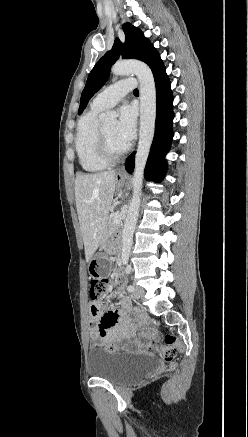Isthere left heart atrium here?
<instances>
[{
  "instance_id": "left-heart-atrium-1",
  "label": "left heart atrium",
  "mask_w": 248,
  "mask_h": 437,
  "mask_svg": "<svg viewBox=\"0 0 248 437\" xmlns=\"http://www.w3.org/2000/svg\"><path fill=\"white\" fill-rule=\"evenodd\" d=\"M136 113L133 107L124 105L119 110L115 134L119 141L128 145L135 135Z\"/></svg>"
}]
</instances>
